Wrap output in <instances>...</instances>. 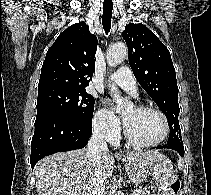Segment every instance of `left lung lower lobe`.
Masks as SVG:
<instances>
[{
  "instance_id": "obj_1",
  "label": "left lung lower lobe",
  "mask_w": 211,
  "mask_h": 195,
  "mask_svg": "<svg viewBox=\"0 0 211 195\" xmlns=\"http://www.w3.org/2000/svg\"><path fill=\"white\" fill-rule=\"evenodd\" d=\"M158 149L160 148H168V149H173L175 151H177L182 157L184 156V146H183V142L181 143H177V144H167L164 146H160L157 147Z\"/></svg>"
}]
</instances>
